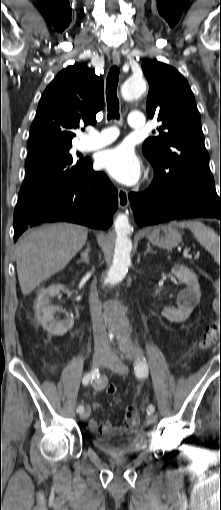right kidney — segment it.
I'll use <instances>...</instances> for the list:
<instances>
[{
  "instance_id": "1",
  "label": "right kidney",
  "mask_w": 221,
  "mask_h": 510,
  "mask_svg": "<svg viewBox=\"0 0 221 510\" xmlns=\"http://www.w3.org/2000/svg\"><path fill=\"white\" fill-rule=\"evenodd\" d=\"M65 289L63 285L55 284L39 291L35 301V316L42 327L52 335H64L74 325L73 317H67L60 320L55 318L56 312L60 311L57 306L50 305V298L56 296L61 290Z\"/></svg>"
}]
</instances>
